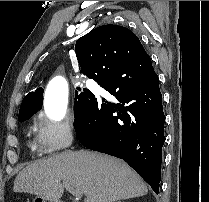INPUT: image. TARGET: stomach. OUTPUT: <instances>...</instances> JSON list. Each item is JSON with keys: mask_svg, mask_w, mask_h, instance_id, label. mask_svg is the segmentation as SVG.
<instances>
[{"mask_svg": "<svg viewBox=\"0 0 209 202\" xmlns=\"http://www.w3.org/2000/svg\"><path fill=\"white\" fill-rule=\"evenodd\" d=\"M32 202H60V201L49 199V198L42 197V196H36L35 198H33Z\"/></svg>", "mask_w": 209, "mask_h": 202, "instance_id": "stomach-1", "label": "stomach"}]
</instances>
